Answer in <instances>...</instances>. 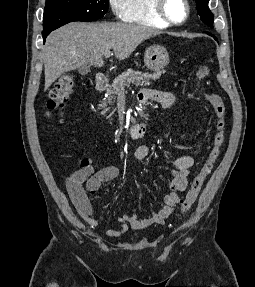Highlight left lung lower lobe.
Here are the masks:
<instances>
[{
  "mask_svg": "<svg viewBox=\"0 0 255 287\" xmlns=\"http://www.w3.org/2000/svg\"><path fill=\"white\" fill-rule=\"evenodd\" d=\"M207 34L213 36L217 40V38L214 35H212L211 33L207 32Z\"/></svg>",
  "mask_w": 255,
  "mask_h": 287,
  "instance_id": "1",
  "label": "left lung lower lobe"
}]
</instances>
